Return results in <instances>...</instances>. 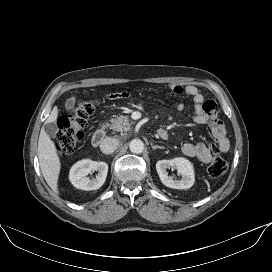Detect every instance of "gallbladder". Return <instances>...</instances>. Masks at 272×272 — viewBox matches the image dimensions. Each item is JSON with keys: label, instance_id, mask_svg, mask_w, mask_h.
<instances>
[{"label": "gallbladder", "instance_id": "obj_1", "mask_svg": "<svg viewBox=\"0 0 272 272\" xmlns=\"http://www.w3.org/2000/svg\"><path fill=\"white\" fill-rule=\"evenodd\" d=\"M44 129L50 137H52V138L56 137V133L58 132V128L54 122L45 124Z\"/></svg>", "mask_w": 272, "mask_h": 272}]
</instances>
